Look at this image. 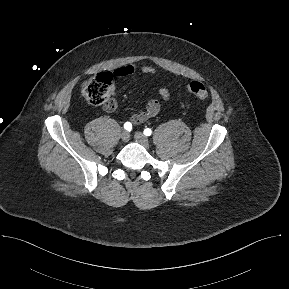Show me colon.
Here are the masks:
<instances>
[{"mask_svg":"<svg viewBox=\"0 0 289 289\" xmlns=\"http://www.w3.org/2000/svg\"><path fill=\"white\" fill-rule=\"evenodd\" d=\"M112 75L100 73L86 80L81 88L84 98L92 105L101 106L107 111L116 108V101L111 97ZM188 91L200 99H206L209 92L206 86L199 81H191Z\"/></svg>","mask_w":289,"mask_h":289,"instance_id":"colon-1","label":"colon"}]
</instances>
